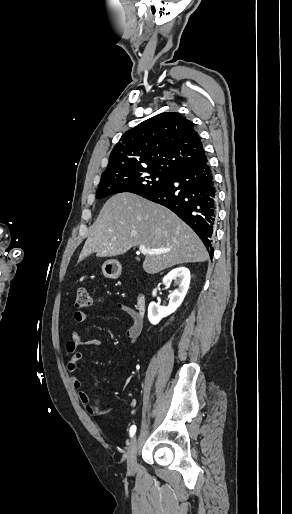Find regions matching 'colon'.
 Listing matches in <instances>:
<instances>
[{
    "mask_svg": "<svg viewBox=\"0 0 292 514\" xmlns=\"http://www.w3.org/2000/svg\"><path fill=\"white\" fill-rule=\"evenodd\" d=\"M76 310H87L90 307V298L86 289H79L76 294Z\"/></svg>",
    "mask_w": 292,
    "mask_h": 514,
    "instance_id": "5ec220e1",
    "label": "colon"
}]
</instances>
